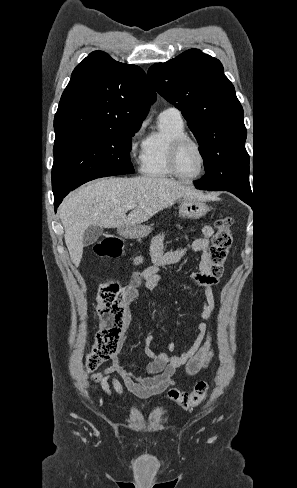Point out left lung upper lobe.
Segmentation results:
<instances>
[{"mask_svg": "<svg viewBox=\"0 0 297 488\" xmlns=\"http://www.w3.org/2000/svg\"><path fill=\"white\" fill-rule=\"evenodd\" d=\"M156 91L178 108L199 142L206 174L201 190L252 197L243 108L221 62L190 49L148 70Z\"/></svg>", "mask_w": 297, "mask_h": 488, "instance_id": "5c2ea615", "label": "left lung upper lobe"}]
</instances>
